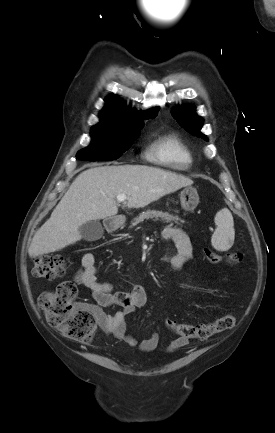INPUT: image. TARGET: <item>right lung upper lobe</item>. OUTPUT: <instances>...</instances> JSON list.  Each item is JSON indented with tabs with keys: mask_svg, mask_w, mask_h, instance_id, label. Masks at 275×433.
<instances>
[{
	"mask_svg": "<svg viewBox=\"0 0 275 433\" xmlns=\"http://www.w3.org/2000/svg\"><path fill=\"white\" fill-rule=\"evenodd\" d=\"M107 107L102 110L100 115V124L120 125V124H133L143 123L142 119H149L156 117L159 108H153L147 112H137L127 110L117 99L116 96H111L106 99Z\"/></svg>",
	"mask_w": 275,
	"mask_h": 433,
	"instance_id": "1",
	"label": "right lung upper lobe"
}]
</instances>
